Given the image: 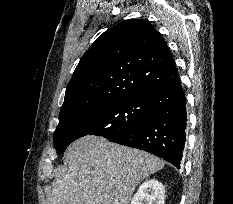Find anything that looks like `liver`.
<instances>
[{
	"label": "liver",
	"mask_w": 233,
	"mask_h": 204,
	"mask_svg": "<svg viewBox=\"0 0 233 204\" xmlns=\"http://www.w3.org/2000/svg\"><path fill=\"white\" fill-rule=\"evenodd\" d=\"M65 159L48 204H129L140 182L164 167L150 153L94 135L73 142Z\"/></svg>",
	"instance_id": "obj_1"
}]
</instances>
